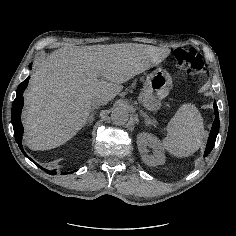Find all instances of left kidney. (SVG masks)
Returning <instances> with one entry per match:
<instances>
[{"label":"left kidney","mask_w":236,"mask_h":236,"mask_svg":"<svg viewBox=\"0 0 236 236\" xmlns=\"http://www.w3.org/2000/svg\"><path fill=\"white\" fill-rule=\"evenodd\" d=\"M137 145L142 160L150 166L163 165L165 163V155L160 141L151 134L142 133L137 136ZM148 148L152 149L149 154Z\"/></svg>","instance_id":"obj_1"}]
</instances>
